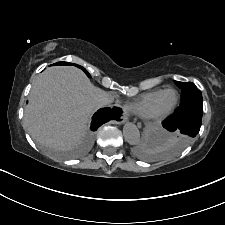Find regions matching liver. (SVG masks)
<instances>
[{
    "mask_svg": "<svg viewBox=\"0 0 225 225\" xmlns=\"http://www.w3.org/2000/svg\"><path fill=\"white\" fill-rule=\"evenodd\" d=\"M109 93L95 87L73 66L46 69L35 79L24 112V126L37 142L68 151L84 139L96 100Z\"/></svg>",
    "mask_w": 225,
    "mask_h": 225,
    "instance_id": "obj_1",
    "label": "liver"
}]
</instances>
